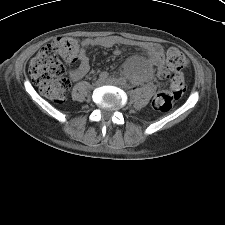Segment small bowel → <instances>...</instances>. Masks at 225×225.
I'll use <instances>...</instances> for the list:
<instances>
[{
  "instance_id": "c3829d8e",
  "label": "small bowel",
  "mask_w": 225,
  "mask_h": 225,
  "mask_svg": "<svg viewBox=\"0 0 225 225\" xmlns=\"http://www.w3.org/2000/svg\"><path fill=\"white\" fill-rule=\"evenodd\" d=\"M118 43L117 39L114 37H98V38H86L82 41V49L79 54V66L77 69L72 70L69 76L72 81H78L84 77L90 70L89 58L86 54L88 48L93 46H99L102 48H111ZM141 48L148 54V60L146 61V66L150 68L151 66H162L163 64V50L160 45L154 43L142 44ZM123 50L121 48H116L113 52L115 56L121 55ZM128 74L131 77L137 78L140 71L137 67H131L128 70Z\"/></svg>"
}]
</instances>
